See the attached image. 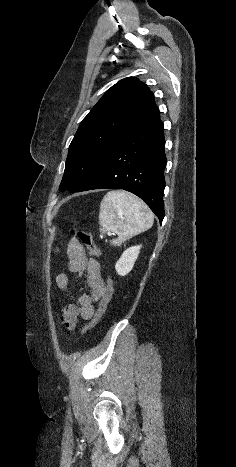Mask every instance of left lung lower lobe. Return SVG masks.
<instances>
[{"label": "left lung lower lobe", "instance_id": "left-lung-lower-lobe-1", "mask_svg": "<svg viewBox=\"0 0 236 467\" xmlns=\"http://www.w3.org/2000/svg\"><path fill=\"white\" fill-rule=\"evenodd\" d=\"M164 128L156 106L110 148L93 176L78 190L115 188L140 197L164 218Z\"/></svg>", "mask_w": 236, "mask_h": 467}]
</instances>
